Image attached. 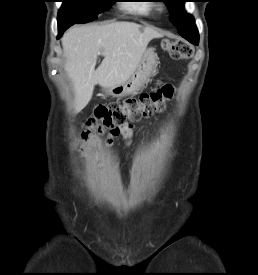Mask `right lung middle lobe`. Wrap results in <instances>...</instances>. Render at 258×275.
Listing matches in <instances>:
<instances>
[{
  "label": "right lung middle lobe",
  "mask_w": 258,
  "mask_h": 275,
  "mask_svg": "<svg viewBox=\"0 0 258 275\" xmlns=\"http://www.w3.org/2000/svg\"><path fill=\"white\" fill-rule=\"evenodd\" d=\"M113 4L114 0H63L58 13V24L93 21L99 13L108 10Z\"/></svg>",
  "instance_id": "1"
}]
</instances>
